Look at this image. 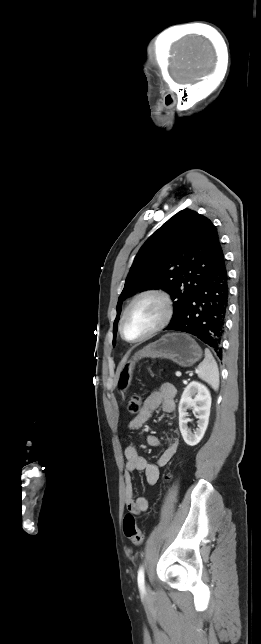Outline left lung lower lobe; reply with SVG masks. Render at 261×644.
I'll use <instances>...</instances> for the list:
<instances>
[{"mask_svg": "<svg viewBox=\"0 0 261 644\" xmlns=\"http://www.w3.org/2000/svg\"><path fill=\"white\" fill-rule=\"evenodd\" d=\"M226 259L223 256L204 278L182 314L165 330L195 335L222 358L221 340L229 301Z\"/></svg>", "mask_w": 261, "mask_h": 644, "instance_id": "obj_1", "label": "left lung lower lobe"}]
</instances>
